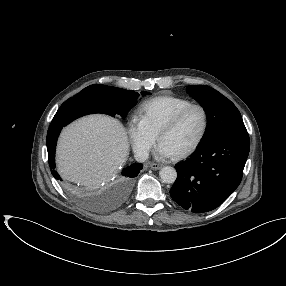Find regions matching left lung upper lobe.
I'll use <instances>...</instances> for the list:
<instances>
[{"label": "left lung upper lobe", "instance_id": "obj_1", "mask_svg": "<svg viewBox=\"0 0 286 286\" xmlns=\"http://www.w3.org/2000/svg\"><path fill=\"white\" fill-rule=\"evenodd\" d=\"M187 92L206 112L208 126L201 143L221 135H248L240 112L224 95L206 85H189Z\"/></svg>", "mask_w": 286, "mask_h": 286}]
</instances>
